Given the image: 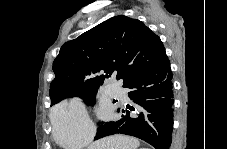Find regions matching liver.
<instances>
[{
    "mask_svg": "<svg viewBox=\"0 0 227 149\" xmlns=\"http://www.w3.org/2000/svg\"><path fill=\"white\" fill-rule=\"evenodd\" d=\"M139 140L125 135H114L92 143L88 149H137Z\"/></svg>",
    "mask_w": 227,
    "mask_h": 149,
    "instance_id": "6515ba94",
    "label": "liver"
}]
</instances>
